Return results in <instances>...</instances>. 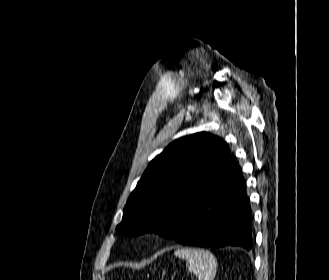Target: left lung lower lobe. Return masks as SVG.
Instances as JSON below:
<instances>
[{"label":"left lung lower lobe","mask_w":329,"mask_h":280,"mask_svg":"<svg viewBox=\"0 0 329 280\" xmlns=\"http://www.w3.org/2000/svg\"><path fill=\"white\" fill-rule=\"evenodd\" d=\"M163 236L183 245L252 248V215L246 182L234 159L218 190L208 192L187 216Z\"/></svg>","instance_id":"0a47b994"}]
</instances>
